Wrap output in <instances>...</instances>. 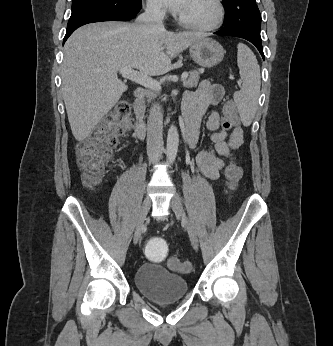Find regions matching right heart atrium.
<instances>
[{
	"label": "right heart atrium",
	"instance_id": "right-heart-atrium-1",
	"mask_svg": "<svg viewBox=\"0 0 333 346\" xmlns=\"http://www.w3.org/2000/svg\"><path fill=\"white\" fill-rule=\"evenodd\" d=\"M146 9L155 17H162L165 13L161 0H146Z\"/></svg>",
	"mask_w": 333,
	"mask_h": 346
}]
</instances>
